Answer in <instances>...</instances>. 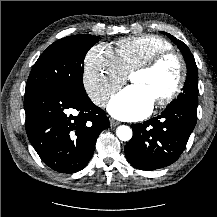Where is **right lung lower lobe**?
<instances>
[{
	"label": "right lung lower lobe",
	"mask_w": 217,
	"mask_h": 217,
	"mask_svg": "<svg viewBox=\"0 0 217 217\" xmlns=\"http://www.w3.org/2000/svg\"><path fill=\"white\" fill-rule=\"evenodd\" d=\"M28 139L55 171L74 173L91 159L99 134L109 128L106 113L87 94L64 88L25 93Z\"/></svg>",
	"instance_id": "1"
}]
</instances>
